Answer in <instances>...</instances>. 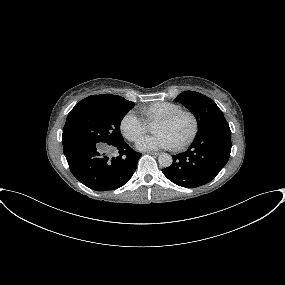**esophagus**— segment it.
Listing matches in <instances>:
<instances>
[{"instance_id": "34e87169", "label": "esophagus", "mask_w": 285, "mask_h": 285, "mask_svg": "<svg viewBox=\"0 0 285 285\" xmlns=\"http://www.w3.org/2000/svg\"><path fill=\"white\" fill-rule=\"evenodd\" d=\"M147 154L153 155V156H158L160 153L159 152L148 151Z\"/></svg>"}]
</instances>
